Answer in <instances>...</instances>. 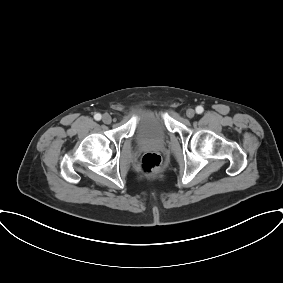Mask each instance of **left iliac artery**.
Wrapping results in <instances>:
<instances>
[{
    "instance_id": "obj_1",
    "label": "left iliac artery",
    "mask_w": 283,
    "mask_h": 283,
    "mask_svg": "<svg viewBox=\"0 0 283 283\" xmlns=\"http://www.w3.org/2000/svg\"><path fill=\"white\" fill-rule=\"evenodd\" d=\"M203 111H204V108H203L202 106H197V107H196V112H197L198 114H201Z\"/></svg>"
}]
</instances>
